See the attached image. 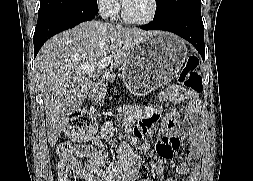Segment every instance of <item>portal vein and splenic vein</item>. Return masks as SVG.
<instances>
[{
  "mask_svg": "<svg viewBox=\"0 0 253 181\" xmlns=\"http://www.w3.org/2000/svg\"><path fill=\"white\" fill-rule=\"evenodd\" d=\"M112 62L111 56H106L98 61L97 65H84L81 67L83 73L92 75L96 70L106 68Z\"/></svg>",
  "mask_w": 253,
  "mask_h": 181,
  "instance_id": "portal-vein-and-splenic-vein-1",
  "label": "portal vein and splenic vein"
}]
</instances>
